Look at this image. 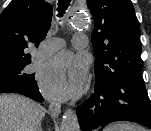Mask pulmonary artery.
<instances>
[{"label":"pulmonary artery","instance_id":"obj_1","mask_svg":"<svg viewBox=\"0 0 151 131\" xmlns=\"http://www.w3.org/2000/svg\"><path fill=\"white\" fill-rule=\"evenodd\" d=\"M73 44L76 48L83 49L87 45V37L84 34H76L73 37ZM62 45L63 43L60 39L51 40L40 49V55L47 56L52 52L60 49Z\"/></svg>","mask_w":151,"mask_h":131}]
</instances>
